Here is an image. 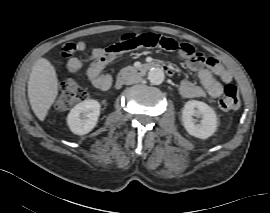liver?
<instances>
[{
    "label": "liver",
    "mask_w": 270,
    "mask_h": 213,
    "mask_svg": "<svg viewBox=\"0 0 270 213\" xmlns=\"http://www.w3.org/2000/svg\"><path fill=\"white\" fill-rule=\"evenodd\" d=\"M59 90L55 68L46 58L34 64L28 81V98L34 114L40 121L47 116Z\"/></svg>",
    "instance_id": "1"
}]
</instances>
